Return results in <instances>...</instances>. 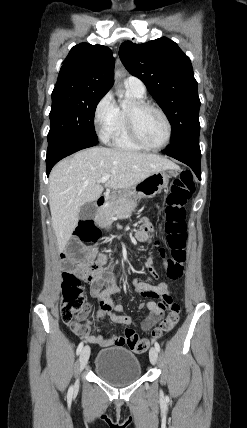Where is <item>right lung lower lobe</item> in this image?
I'll return each instance as SVG.
<instances>
[{
  "mask_svg": "<svg viewBox=\"0 0 247 428\" xmlns=\"http://www.w3.org/2000/svg\"><path fill=\"white\" fill-rule=\"evenodd\" d=\"M96 144H98L97 140L92 141L75 138H61L49 141L46 156L47 175H49L52 167L62 158L81 149L95 146Z\"/></svg>",
  "mask_w": 247,
  "mask_h": 428,
  "instance_id": "obj_1",
  "label": "right lung lower lobe"
}]
</instances>
